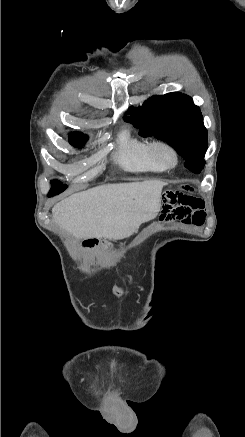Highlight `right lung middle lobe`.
<instances>
[{
  "label": "right lung middle lobe",
  "mask_w": 245,
  "mask_h": 437,
  "mask_svg": "<svg viewBox=\"0 0 245 437\" xmlns=\"http://www.w3.org/2000/svg\"><path fill=\"white\" fill-rule=\"evenodd\" d=\"M87 140L88 136L84 135L83 133L76 132L69 134V143L75 147L81 148ZM51 184L56 186L58 189L67 188L66 185H62V183L58 180H52Z\"/></svg>",
  "instance_id": "right-lung-middle-lobe-1"
}]
</instances>
